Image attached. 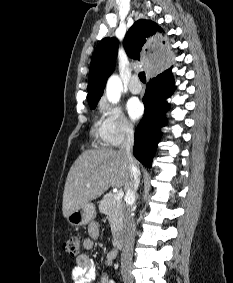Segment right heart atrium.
Listing matches in <instances>:
<instances>
[{
  "label": "right heart atrium",
  "instance_id": "obj_1",
  "mask_svg": "<svg viewBox=\"0 0 233 283\" xmlns=\"http://www.w3.org/2000/svg\"><path fill=\"white\" fill-rule=\"evenodd\" d=\"M99 109L103 116L108 144L118 146L133 137L134 126L119 106L102 100Z\"/></svg>",
  "mask_w": 233,
  "mask_h": 283
}]
</instances>
